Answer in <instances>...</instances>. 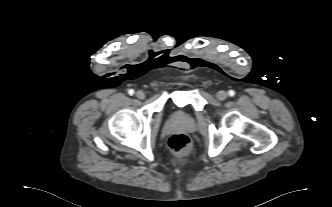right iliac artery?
I'll list each match as a JSON object with an SVG mask.
<instances>
[{
    "label": "right iliac artery",
    "instance_id": "right-iliac-artery-1",
    "mask_svg": "<svg viewBox=\"0 0 332 207\" xmlns=\"http://www.w3.org/2000/svg\"><path fill=\"white\" fill-rule=\"evenodd\" d=\"M128 93H129V95H133V94H134V90H133V89H130V90L128 91Z\"/></svg>",
    "mask_w": 332,
    "mask_h": 207
}]
</instances>
